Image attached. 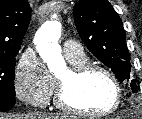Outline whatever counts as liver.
Listing matches in <instances>:
<instances>
[{
	"label": "liver",
	"mask_w": 142,
	"mask_h": 119,
	"mask_svg": "<svg viewBox=\"0 0 142 119\" xmlns=\"http://www.w3.org/2000/svg\"><path fill=\"white\" fill-rule=\"evenodd\" d=\"M0 119H66L65 116H55L42 113H33L26 115H3L0 114Z\"/></svg>",
	"instance_id": "1"
}]
</instances>
